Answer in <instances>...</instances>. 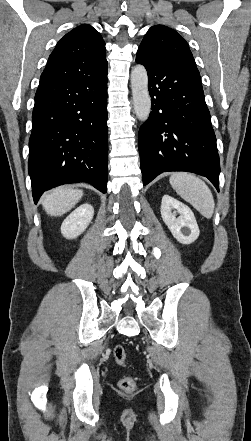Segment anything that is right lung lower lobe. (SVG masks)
Wrapping results in <instances>:
<instances>
[{
    "instance_id": "right-lung-lower-lobe-1",
    "label": "right lung lower lobe",
    "mask_w": 251,
    "mask_h": 441,
    "mask_svg": "<svg viewBox=\"0 0 251 441\" xmlns=\"http://www.w3.org/2000/svg\"><path fill=\"white\" fill-rule=\"evenodd\" d=\"M28 171L34 202L44 191L87 182L107 190V68L89 76L40 80L32 114Z\"/></svg>"
}]
</instances>
